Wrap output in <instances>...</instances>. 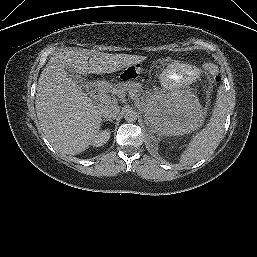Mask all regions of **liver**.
Segmentation results:
<instances>
[{
	"label": "liver",
	"instance_id": "1",
	"mask_svg": "<svg viewBox=\"0 0 257 257\" xmlns=\"http://www.w3.org/2000/svg\"><path fill=\"white\" fill-rule=\"evenodd\" d=\"M89 59V61H88ZM141 56L65 48L54 54L37 85L35 107L40 126L57 151L78 155L93 144L101 127V105H95L66 73L109 74L140 62Z\"/></svg>",
	"mask_w": 257,
	"mask_h": 257
}]
</instances>
